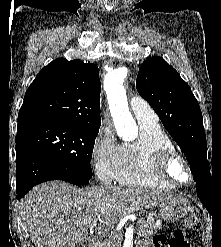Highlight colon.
Returning a JSON list of instances; mask_svg holds the SVG:
<instances>
[{"label":"colon","mask_w":221,"mask_h":247,"mask_svg":"<svg viewBox=\"0 0 221 247\" xmlns=\"http://www.w3.org/2000/svg\"><path fill=\"white\" fill-rule=\"evenodd\" d=\"M199 225L198 215L192 213L188 215L183 222V228L176 229L168 240V247H189V235L186 230L196 229ZM153 243L157 247H162L165 243L163 236H156ZM83 247V246H82Z\"/></svg>","instance_id":"5ec220e1"}]
</instances>
